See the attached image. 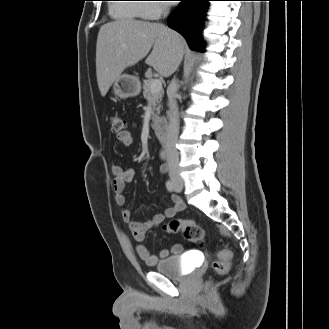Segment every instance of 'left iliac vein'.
Wrapping results in <instances>:
<instances>
[{
  "instance_id": "obj_1",
  "label": "left iliac vein",
  "mask_w": 329,
  "mask_h": 329,
  "mask_svg": "<svg viewBox=\"0 0 329 329\" xmlns=\"http://www.w3.org/2000/svg\"><path fill=\"white\" fill-rule=\"evenodd\" d=\"M181 188H182L181 186H179L177 184L175 185V191L176 192H180L181 191Z\"/></svg>"
}]
</instances>
